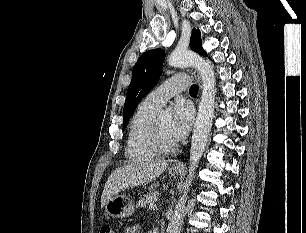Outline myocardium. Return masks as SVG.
<instances>
[{"label": "myocardium", "mask_w": 306, "mask_h": 233, "mask_svg": "<svg viewBox=\"0 0 306 233\" xmlns=\"http://www.w3.org/2000/svg\"><path fill=\"white\" fill-rule=\"evenodd\" d=\"M149 142L152 146V148L158 153V154H172L177 151L178 145L174 144L171 146H167L163 143L157 126V119L155 118L149 129Z\"/></svg>", "instance_id": "obj_1"}]
</instances>
